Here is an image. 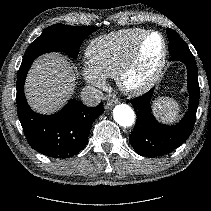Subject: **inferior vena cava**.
<instances>
[{
  "label": "inferior vena cava",
  "mask_w": 211,
  "mask_h": 211,
  "mask_svg": "<svg viewBox=\"0 0 211 211\" xmlns=\"http://www.w3.org/2000/svg\"><path fill=\"white\" fill-rule=\"evenodd\" d=\"M103 97V93L93 86H85L81 91V100L86 106H97Z\"/></svg>",
  "instance_id": "obj_1"
}]
</instances>
